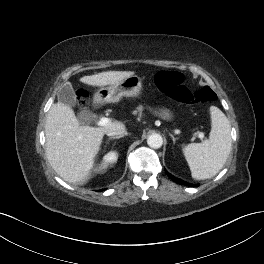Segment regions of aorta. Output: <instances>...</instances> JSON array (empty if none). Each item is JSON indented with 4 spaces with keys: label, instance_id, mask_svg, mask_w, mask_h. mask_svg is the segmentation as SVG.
<instances>
[{
    "label": "aorta",
    "instance_id": "762f6f07",
    "mask_svg": "<svg viewBox=\"0 0 264 264\" xmlns=\"http://www.w3.org/2000/svg\"><path fill=\"white\" fill-rule=\"evenodd\" d=\"M147 144L151 148L158 149L163 145V138L160 134L153 133V134L149 135V137L147 139Z\"/></svg>",
    "mask_w": 264,
    "mask_h": 264
}]
</instances>
